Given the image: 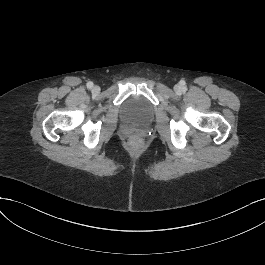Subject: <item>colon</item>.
<instances>
[{
    "instance_id": "obj_1",
    "label": "colon",
    "mask_w": 265,
    "mask_h": 265,
    "mask_svg": "<svg viewBox=\"0 0 265 265\" xmlns=\"http://www.w3.org/2000/svg\"><path fill=\"white\" fill-rule=\"evenodd\" d=\"M128 138L133 142V143H138L141 138V134L137 130H131L127 133Z\"/></svg>"
}]
</instances>
